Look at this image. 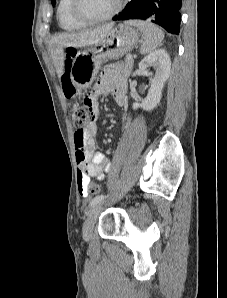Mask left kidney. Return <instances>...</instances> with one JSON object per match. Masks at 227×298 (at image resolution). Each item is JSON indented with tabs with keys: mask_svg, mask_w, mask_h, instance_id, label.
I'll list each match as a JSON object with an SVG mask.
<instances>
[{
	"mask_svg": "<svg viewBox=\"0 0 227 298\" xmlns=\"http://www.w3.org/2000/svg\"><path fill=\"white\" fill-rule=\"evenodd\" d=\"M150 66H153L156 70L155 75L150 79L151 88L142 103H133L134 110L142 108L150 111L160 103L162 89L169 77L171 68V60L167 52L164 49H157L144 57L139 63V69L143 71Z\"/></svg>",
	"mask_w": 227,
	"mask_h": 298,
	"instance_id": "1",
	"label": "left kidney"
}]
</instances>
